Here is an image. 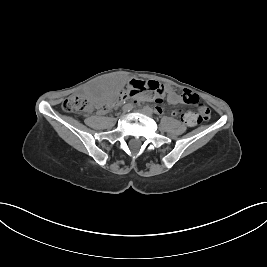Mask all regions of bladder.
Wrapping results in <instances>:
<instances>
[{
  "label": "bladder",
  "mask_w": 267,
  "mask_h": 267,
  "mask_svg": "<svg viewBox=\"0 0 267 267\" xmlns=\"http://www.w3.org/2000/svg\"><path fill=\"white\" fill-rule=\"evenodd\" d=\"M117 89H118V87L112 88V91L115 93L117 91Z\"/></svg>",
  "instance_id": "bladder-1"
}]
</instances>
